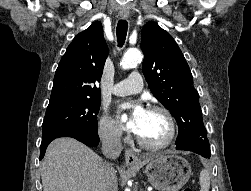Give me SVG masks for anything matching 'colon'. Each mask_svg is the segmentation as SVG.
Segmentation results:
<instances>
[{
	"mask_svg": "<svg viewBox=\"0 0 251 191\" xmlns=\"http://www.w3.org/2000/svg\"><path fill=\"white\" fill-rule=\"evenodd\" d=\"M183 191H192V189L187 187V188H184Z\"/></svg>",
	"mask_w": 251,
	"mask_h": 191,
	"instance_id": "obj_1",
	"label": "colon"
}]
</instances>
